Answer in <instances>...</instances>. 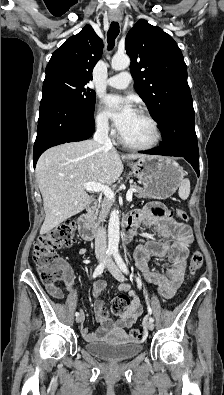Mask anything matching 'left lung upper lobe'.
<instances>
[{"label": "left lung upper lobe", "instance_id": "left-lung-upper-lobe-1", "mask_svg": "<svg viewBox=\"0 0 224 395\" xmlns=\"http://www.w3.org/2000/svg\"><path fill=\"white\" fill-rule=\"evenodd\" d=\"M125 49L131 59L134 87L159 127L168 112L193 106L187 67L170 35L140 19L127 34Z\"/></svg>", "mask_w": 224, "mask_h": 395}]
</instances>
